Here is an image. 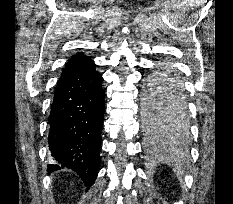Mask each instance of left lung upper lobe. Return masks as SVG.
<instances>
[{
	"label": "left lung upper lobe",
	"mask_w": 233,
	"mask_h": 204,
	"mask_svg": "<svg viewBox=\"0 0 233 204\" xmlns=\"http://www.w3.org/2000/svg\"><path fill=\"white\" fill-rule=\"evenodd\" d=\"M143 93V117L146 129L174 127L184 131L189 126V111L184 98L183 85L152 76Z\"/></svg>",
	"instance_id": "1"
}]
</instances>
